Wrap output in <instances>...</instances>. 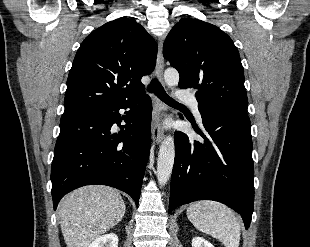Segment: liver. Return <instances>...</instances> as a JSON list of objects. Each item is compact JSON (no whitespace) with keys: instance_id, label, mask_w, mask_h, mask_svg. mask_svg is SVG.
<instances>
[{"instance_id":"obj_1","label":"liver","mask_w":310,"mask_h":247,"mask_svg":"<svg viewBox=\"0 0 310 247\" xmlns=\"http://www.w3.org/2000/svg\"><path fill=\"white\" fill-rule=\"evenodd\" d=\"M126 206L120 193L108 186L78 188L59 204V218L67 247H88L117 225Z\"/></svg>"}]
</instances>
